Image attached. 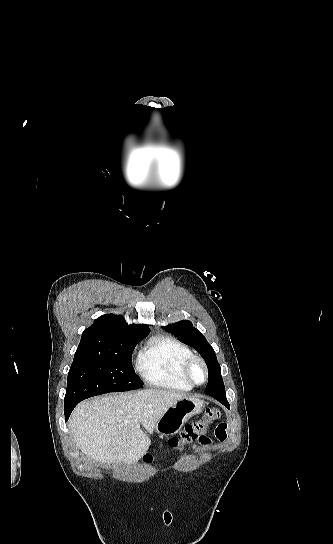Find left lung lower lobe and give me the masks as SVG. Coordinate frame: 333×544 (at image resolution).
<instances>
[{"label":"left lung lower lobe","instance_id":"1","mask_svg":"<svg viewBox=\"0 0 333 544\" xmlns=\"http://www.w3.org/2000/svg\"><path fill=\"white\" fill-rule=\"evenodd\" d=\"M207 395H210L211 397L215 398L216 400H218L220 403H222L223 405H225L227 408H229V403L226 399V394L225 392H210L208 393Z\"/></svg>","mask_w":333,"mask_h":544}]
</instances>
